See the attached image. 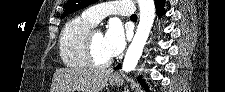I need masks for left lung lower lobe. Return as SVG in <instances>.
<instances>
[{
  "instance_id": "obj_1",
  "label": "left lung lower lobe",
  "mask_w": 225,
  "mask_h": 92,
  "mask_svg": "<svg viewBox=\"0 0 225 92\" xmlns=\"http://www.w3.org/2000/svg\"><path fill=\"white\" fill-rule=\"evenodd\" d=\"M155 2H156L157 14L164 13V9H163L164 0H155ZM120 68H121L120 64L115 67V69H120ZM139 81H141V77H139ZM141 82L143 84V80Z\"/></svg>"
}]
</instances>
